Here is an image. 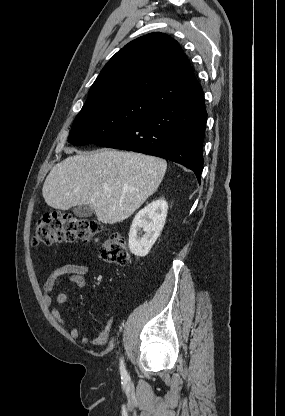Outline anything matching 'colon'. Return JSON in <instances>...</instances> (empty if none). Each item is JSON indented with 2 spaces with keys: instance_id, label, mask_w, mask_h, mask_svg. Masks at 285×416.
<instances>
[{
  "instance_id": "colon-1",
  "label": "colon",
  "mask_w": 285,
  "mask_h": 416,
  "mask_svg": "<svg viewBox=\"0 0 285 416\" xmlns=\"http://www.w3.org/2000/svg\"><path fill=\"white\" fill-rule=\"evenodd\" d=\"M101 230V225L95 220L62 213L45 214L36 224L32 244L49 246L58 242L76 240L89 242ZM105 235V239L100 244L103 260L121 266L128 265L130 254L124 236L118 232H105Z\"/></svg>"
}]
</instances>
